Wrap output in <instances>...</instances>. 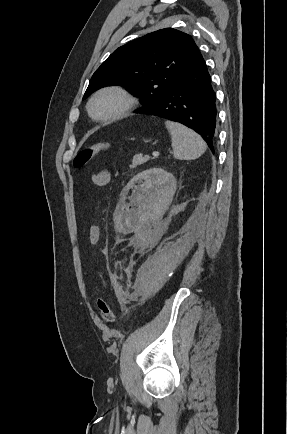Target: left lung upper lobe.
Segmentation results:
<instances>
[{"mask_svg":"<svg viewBox=\"0 0 287 434\" xmlns=\"http://www.w3.org/2000/svg\"><path fill=\"white\" fill-rule=\"evenodd\" d=\"M202 58L192 37L165 28L116 49L95 71L84 94L110 85L131 88L143 108L157 103L175 80Z\"/></svg>","mask_w":287,"mask_h":434,"instance_id":"5c2ea615","label":"left lung upper lobe"}]
</instances>
